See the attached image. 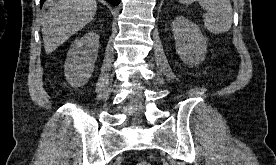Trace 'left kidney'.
Wrapping results in <instances>:
<instances>
[{
	"label": "left kidney",
	"instance_id": "5707ae66",
	"mask_svg": "<svg viewBox=\"0 0 276 165\" xmlns=\"http://www.w3.org/2000/svg\"><path fill=\"white\" fill-rule=\"evenodd\" d=\"M173 35L176 52L184 63L193 66L204 61L207 52L206 38L195 23L184 16H177L173 22Z\"/></svg>",
	"mask_w": 276,
	"mask_h": 165
}]
</instances>
